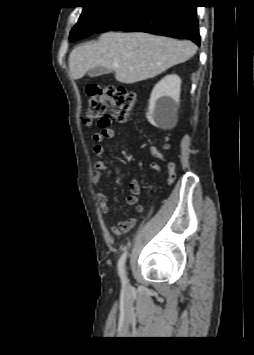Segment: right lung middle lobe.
Listing matches in <instances>:
<instances>
[{"mask_svg": "<svg viewBox=\"0 0 254 355\" xmlns=\"http://www.w3.org/2000/svg\"><path fill=\"white\" fill-rule=\"evenodd\" d=\"M121 4L123 3L115 0H99L88 3L83 7L77 24L71 30L70 41L79 40L95 33Z\"/></svg>", "mask_w": 254, "mask_h": 355, "instance_id": "right-lung-middle-lobe-1", "label": "right lung middle lobe"}]
</instances>
